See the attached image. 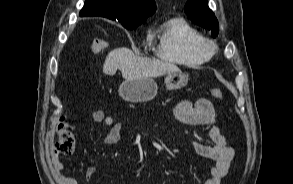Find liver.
Returning <instances> with one entry per match:
<instances>
[{
  "instance_id": "1",
  "label": "liver",
  "mask_w": 293,
  "mask_h": 184,
  "mask_svg": "<svg viewBox=\"0 0 293 184\" xmlns=\"http://www.w3.org/2000/svg\"><path fill=\"white\" fill-rule=\"evenodd\" d=\"M117 69L121 71L124 79L158 77L180 71L174 63L140 57L126 47L112 50L105 59L103 65L105 74L114 75Z\"/></svg>"
}]
</instances>
